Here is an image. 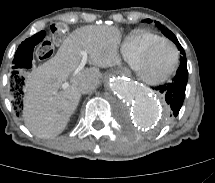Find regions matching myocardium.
Segmentation results:
<instances>
[{"label":"myocardium","instance_id":"obj_1","mask_svg":"<svg viewBox=\"0 0 215 183\" xmlns=\"http://www.w3.org/2000/svg\"><path fill=\"white\" fill-rule=\"evenodd\" d=\"M160 43H168L172 46V48L174 50V61H173L172 66L170 67V69L167 72H165L162 76L157 77V78H149L144 74V72L142 70V63H143L144 59L147 57V55ZM179 57H180V54H179V50H178L177 46L171 40L166 39V38H161V39L154 41L150 45H148L142 51V53L136 58L133 65L131 66V68L135 72L138 79L141 82H143L144 84L149 85V86H160V85H163L164 83H166L176 72L178 64H179Z\"/></svg>","mask_w":215,"mask_h":183}]
</instances>
